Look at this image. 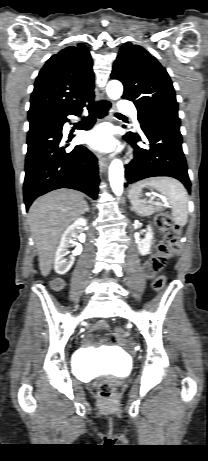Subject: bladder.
<instances>
[{
	"label": "bladder",
	"mask_w": 208,
	"mask_h": 461,
	"mask_svg": "<svg viewBox=\"0 0 208 461\" xmlns=\"http://www.w3.org/2000/svg\"><path fill=\"white\" fill-rule=\"evenodd\" d=\"M128 362L115 358L113 360H94L88 353L82 352L76 361L79 372H93L96 374L111 373L123 377L128 374Z\"/></svg>",
	"instance_id": "bladder-1"
}]
</instances>
